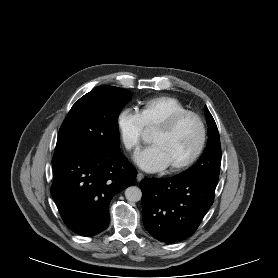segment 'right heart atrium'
Returning <instances> with one entry per match:
<instances>
[{
    "label": "right heart atrium",
    "instance_id": "right-heart-atrium-1",
    "mask_svg": "<svg viewBox=\"0 0 278 278\" xmlns=\"http://www.w3.org/2000/svg\"><path fill=\"white\" fill-rule=\"evenodd\" d=\"M121 141L128 151L138 148L144 133V124L138 111L131 108L122 109L116 119Z\"/></svg>",
    "mask_w": 278,
    "mask_h": 278
}]
</instances>
